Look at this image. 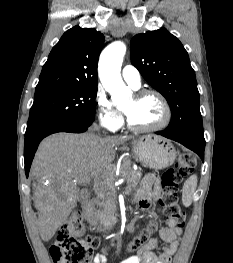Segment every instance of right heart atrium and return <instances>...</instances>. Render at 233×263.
<instances>
[{
	"instance_id": "1",
	"label": "right heart atrium",
	"mask_w": 233,
	"mask_h": 263,
	"mask_svg": "<svg viewBox=\"0 0 233 263\" xmlns=\"http://www.w3.org/2000/svg\"><path fill=\"white\" fill-rule=\"evenodd\" d=\"M94 102L99 122L109 131L118 130L123 124V117L101 87L96 89Z\"/></svg>"
}]
</instances>
